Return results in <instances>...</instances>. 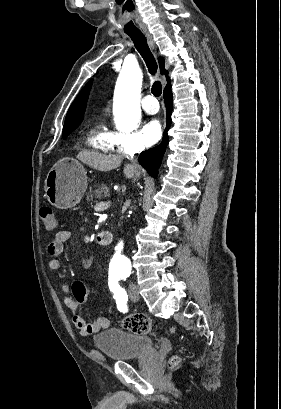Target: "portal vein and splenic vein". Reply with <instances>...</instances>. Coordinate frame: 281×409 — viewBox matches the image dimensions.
Wrapping results in <instances>:
<instances>
[{
    "label": "portal vein and splenic vein",
    "mask_w": 281,
    "mask_h": 409,
    "mask_svg": "<svg viewBox=\"0 0 281 409\" xmlns=\"http://www.w3.org/2000/svg\"><path fill=\"white\" fill-rule=\"evenodd\" d=\"M111 200V199H110ZM108 205V202H105L104 200H100L98 203L95 204L94 210L95 211H100L101 213H104L106 211V208Z\"/></svg>",
    "instance_id": "portal-vein-and-splenic-vein-1"
}]
</instances>
